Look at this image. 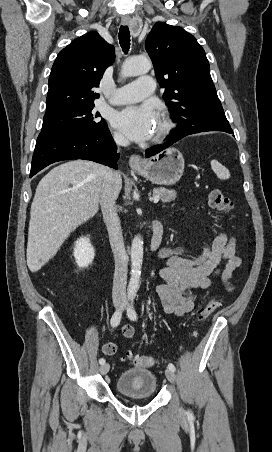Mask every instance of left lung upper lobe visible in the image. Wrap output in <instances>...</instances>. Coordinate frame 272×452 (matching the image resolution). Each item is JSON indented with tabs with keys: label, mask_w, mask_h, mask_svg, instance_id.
<instances>
[{
	"label": "left lung upper lobe",
	"mask_w": 272,
	"mask_h": 452,
	"mask_svg": "<svg viewBox=\"0 0 272 452\" xmlns=\"http://www.w3.org/2000/svg\"><path fill=\"white\" fill-rule=\"evenodd\" d=\"M145 48L156 77L166 88L163 99L180 128H230L210 75L204 49L178 26L157 22Z\"/></svg>",
	"instance_id": "1"
}]
</instances>
